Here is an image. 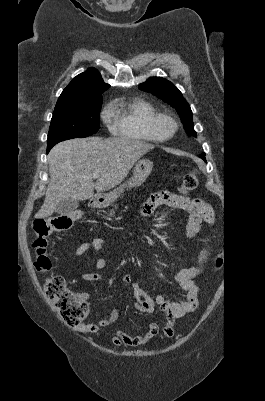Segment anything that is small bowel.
<instances>
[{"mask_svg": "<svg viewBox=\"0 0 265 401\" xmlns=\"http://www.w3.org/2000/svg\"><path fill=\"white\" fill-rule=\"evenodd\" d=\"M161 205L182 209L189 214L186 227V235L188 238L194 237L200 231L203 223L210 225L214 222V210L205 200L201 198H188L168 191H160L152 194L142 206V215H151L156 208ZM104 244L105 241L103 238L95 237L91 241L80 244L74 250L73 255L78 257L89 250L100 252ZM209 255L210 250L208 247H205L199 254L196 266L183 268L174 275V282L178 285L179 289L186 294V301L182 302L170 300L162 295L151 298L138 282H132L133 279L130 274L124 275L123 282L126 284L132 283L136 309L141 313L151 314L154 312L156 306H160L167 322L166 325L170 327H172L176 319L196 310L198 307L200 289L195 282V278L203 271ZM95 265L98 269H102L105 266V260L102 255H99L96 259ZM81 279L86 282H101L104 280V277L98 273H85L81 276ZM80 296L84 299L86 298L84 294ZM118 317L119 307L115 306L108 318L98 322L80 324L76 327V330L82 333H99L113 325ZM158 331V324L150 323L147 330L140 335L132 336L121 330H115L110 334V338L115 346H142L154 338Z\"/></svg>", "mask_w": 265, "mask_h": 401, "instance_id": "1", "label": "small bowel"}]
</instances>
